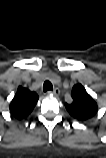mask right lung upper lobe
<instances>
[{"label":"right lung upper lobe","mask_w":106,"mask_h":158,"mask_svg":"<svg viewBox=\"0 0 106 158\" xmlns=\"http://www.w3.org/2000/svg\"><path fill=\"white\" fill-rule=\"evenodd\" d=\"M38 99L35 92L19 86L9 107L12 117L18 120L26 118L32 112Z\"/></svg>","instance_id":"cb5924a9"}]
</instances>
